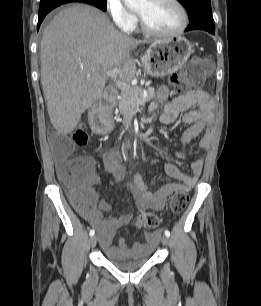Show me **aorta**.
<instances>
[{
  "label": "aorta",
  "mask_w": 261,
  "mask_h": 306,
  "mask_svg": "<svg viewBox=\"0 0 261 306\" xmlns=\"http://www.w3.org/2000/svg\"><path fill=\"white\" fill-rule=\"evenodd\" d=\"M143 0H124L129 6L135 7L138 6Z\"/></svg>",
  "instance_id": "762f6f07"
}]
</instances>
